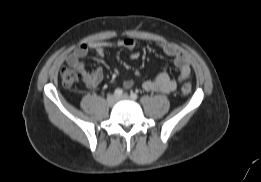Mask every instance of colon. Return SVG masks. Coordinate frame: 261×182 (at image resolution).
<instances>
[{"label":"colon","instance_id":"5ec220e1","mask_svg":"<svg viewBox=\"0 0 261 182\" xmlns=\"http://www.w3.org/2000/svg\"><path fill=\"white\" fill-rule=\"evenodd\" d=\"M60 77H61L62 84L67 88L74 86L79 79L78 73L69 68H63L61 70ZM191 90H192L191 84L188 82L184 83L181 87V91L184 95L190 94Z\"/></svg>","mask_w":261,"mask_h":182}]
</instances>
